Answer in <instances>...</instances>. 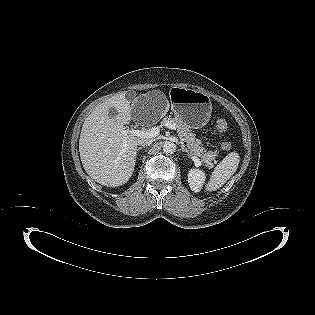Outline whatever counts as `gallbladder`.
Returning <instances> with one entry per match:
<instances>
[{
    "instance_id": "obj_1",
    "label": "gallbladder",
    "mask_w": 315,
    "mask_h": 315,
    "mask_svg": "<svg viewBox=\"0 0 315 315\" xmlns=\"http://www.w3.org/2000/svg\"><path fill=\"white\" fill-rule=\"evenodd\" d=\"M108 115H109L110 117H115V116L117 115L116 109H115V108H110V109L108 110Z\"/></svg>"
}]
</instances>
